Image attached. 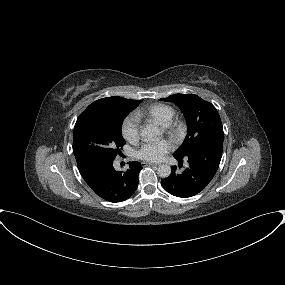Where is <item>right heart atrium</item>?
Wrapping results in <instances>:
<instances>
[{
  "mask_svg": "<svg viewBox=\"0 0 285 285\" xmlns=\"http://www.w3.org/2000/svg\"><path fill=\"white\" fill-rule=\"evenodd\" d=\"M121 133L125 140L135 143L140 135V121L135 114H128L122 121Z\"/></svg>",
  "mask_w": 285,
  "mask_h": 285,
  "instance_id": "right-heart-atrium-1",
  "label": "right heart atrium"
}]
</instances>
